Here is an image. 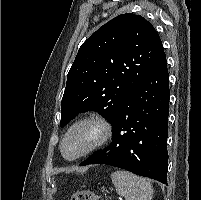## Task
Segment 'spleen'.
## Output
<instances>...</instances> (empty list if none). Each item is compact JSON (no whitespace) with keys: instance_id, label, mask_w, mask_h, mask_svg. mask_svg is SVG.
Segmentation results:
<instances>
[{"instance_id":"obj_1","label":"spleen","mask_w":201,"mask_h":200,"mask_svg":"<svg viewBox=\"0 0 201 200\" xmlns=\"http://www.w3.org/2000/svg\"><path fill=\"white\" fill-rule=\"evenodd\" d=\"M111 179L119 195L125 200H152L153 189L150 182L128 171L118 170Z\"/></svg>"}]
</instances>
